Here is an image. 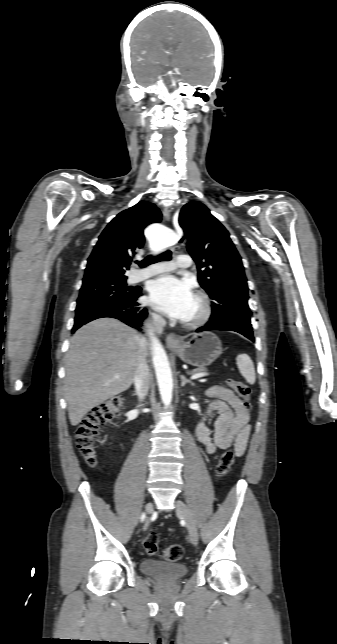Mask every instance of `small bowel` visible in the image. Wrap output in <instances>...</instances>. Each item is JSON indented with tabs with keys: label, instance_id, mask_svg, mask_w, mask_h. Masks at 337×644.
<instances>
[{
	"label": "small bowel",
	"instance_id": "obj_1",
	"mask_svg": "<svg viewBox=\"0 0 337 644\" xmlns=\"http://www.w3.org/2000/svg\"><path fill=\"white\" fill-rule=\"evenodd\" d=\"M207 395L211 398L206 412H218L214 429L211 431L201 420L196 427L198 441L205 452L213 455L217 449L234 447L235 455L244 454L251 427L249 414L243 402L230 389L213 386L208 389Z\"/></svg>",
	"mask_w": 337,
	"mask_h": 644
}]
</instances>
